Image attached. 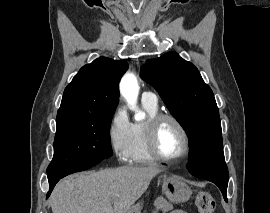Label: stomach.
<instances>
[{
    "label": "stomach",
    "instance_id": "1",
    "mask_svg": "<svg viewBox=\"0 0 270 213\" xmlns=\"http://www.w3.org/2000/svg\"><path fill=\"white\" fill-rule=\"evenodd\" d=\"M163 194L174 203H182L187 201L191 196V189L186 182L178 177L168 173L160 176ZM141 204L133 205L127 213H140Z\"/></svg>",
    "mask_w": 270,
    "mask_h": 213
}]
</instances>
